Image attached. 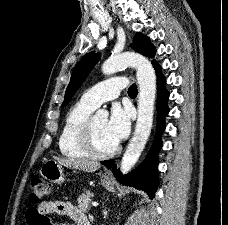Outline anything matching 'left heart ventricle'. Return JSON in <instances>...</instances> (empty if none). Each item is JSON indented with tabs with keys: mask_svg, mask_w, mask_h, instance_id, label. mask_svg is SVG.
I'll return each instance as SVG.
<instances>
[{
	"mask_svg": "<svg viewBox=\"0 0 228 225\" xmlns=\"http://www.w3.org/2000/svg\"><path fill=\"white\" fill-rule=\"evenodd\" d=\"M107 120L106 118L94 117L93 118V130L97 144L102 149H108L113 147L116 142L111 140L106 132Z\"/></svg>",
	"mask_w": 228,
	"mask_h": 225,
	"instance_id": "left-heart-ventricle-1",
	"label": "left heart ventricle"
}]
</instances>
